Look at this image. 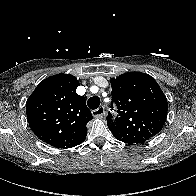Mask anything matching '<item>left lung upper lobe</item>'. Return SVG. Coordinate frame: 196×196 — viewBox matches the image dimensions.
<instances>
[{"instance_id":"obj_1","label":"left lung upper lobe","mask_w":196,"mask_h":196,"mask_svg":"<svg viewBox=\"0 0 196 196\" xmlns=\"http://www.w3.org/2000/svg\"><path fill=\"white\" fill-rule=\"evenodd\" d=\"M112 102L118 115L108 114L113 136L124 143H144L162 130L167 118V99L153 77L141 72L125 73L111 80Z\"/></svg>"}]
</instances>
